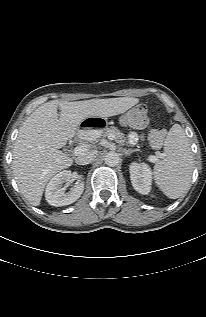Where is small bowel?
I'll use <instances>...</instances> for the list:
<instances>
[{"mask_svg": "<svg viewBox=\"0 0 206 317\" xmlns=\"http://www.w3.org/2000/svg\"><path fill=\"white\" fill-rule=\"evenodd\" d=\"M139 140V135L135 132H131L128 136V141L130 144H135Z\"/></svg>", "mask_w": 206, "mask_h": 317, "instance_id": "small-bowel-1", "label": "small bowel"}]
</instances>
